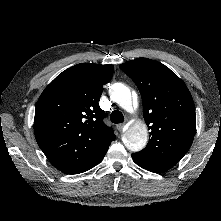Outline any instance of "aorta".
Returning a JSON list of instances; mask_svg holds the SVG:
<instances>
[{"instance_id":"1","label":"aorta","mask_w":221,"mask_h":221,"mask_svg":"<svg viewBox=\"0 0 221 221\" xmlns=\"http://www.w3.org/2000/svg\"><path fill=\"white\" fill-rule=\"evenodd\" d=\"M112 99L124 110L132 108V102L137 105V97L132 101L130 89L122 83H115L111 86ZM123 143L132 152L142 150L148 140V131L145 123H135L124 133Z\"/></svg>"}]
</instances>
